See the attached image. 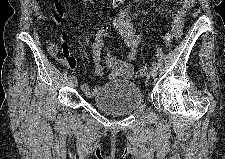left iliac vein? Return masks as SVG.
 Listing matches in <instances>:
<instances>
[{
  "label": "left iliac vein",
  "instance_id": "left-iliac-vein-1",
  "mask_svg": "<svg viewBox=\"0 0 225 159\" xmlns=\"http://www.w3.org/2000/svg\"><path fill=\"white\" fill-rule=\"evenodd\" d=\"M150 75H151L152 77H156V75H157V68L152 67V68H151V71H150Z\"/></svg>",
  "mask_w": 225,
  "mask_h": 159
}]
</instances>
